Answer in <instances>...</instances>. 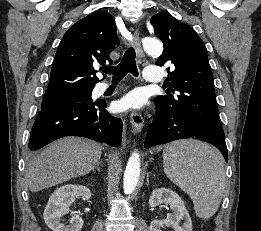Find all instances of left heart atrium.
I'll return each mask as SVG.
<instances>
[{"label": "left heart atrium", "mask_w": 261, "mask_h": 231, "mask_svg": "<svg viewBox=\"0 0 261 231\" xmlns=\"http://www.w3.org/2000/svg\"><path fill=\"white\" fill-rule=\"evenodd\" d=\"M145 95L140 90H133L118 102V108L121 110L139 109L145 103Z\"/></svg>", "instance_id": "39dd6f15"}]
</instances>
